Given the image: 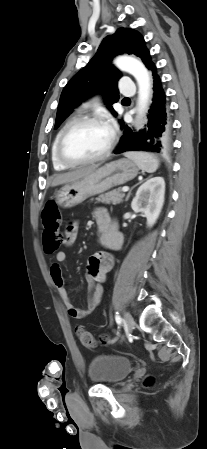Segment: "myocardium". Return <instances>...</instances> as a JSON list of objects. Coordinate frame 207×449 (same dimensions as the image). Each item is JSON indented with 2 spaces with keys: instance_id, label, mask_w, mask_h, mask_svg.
<instances>
[{
  "instance_id": "obj_1",
  "label": "myocardium",
  "mask_w": 207,
  "mask_h": 449,
  "mask_svg": "<svg viewBox=\"0 0 207 449\" xmlns=\"http://www.w3.org/2000/svg\"><path fill=\"white\" fill-rule=\"evenodd\" d=\"M83 124H101V125H105L108 127V124L106 123V121L101 117L85 116V117L76 118V119L72 120L71 122H69L65 126V128L62 130V132L58 138L57 146H56V154H57L59 161L67 167L83 166V165L93 164V163L102 161L110 155V153L112 152V150L116 144V133L114 130H111V138H110L109 144L101 154H99L95 157L89 158V159H82V160H73V159L68 158L63 152L64 141L72 129H74L75 127H77L79 125H83Z\"/></svg>"
}]
</instances>
